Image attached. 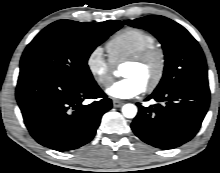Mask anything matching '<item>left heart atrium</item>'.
<instances>
[{
    "label": "left heart atrium",
    "mask_w": 220,
    "mask_h": 173,
    "mask_svg": "<svg viewBox=\"0 0 220 173\" xmlns=\"http://www.w3.org/2000/svg\"><path fill=\"white\" fill-rule=\"evenodd\" d=\"M145 89L142 82L135 77H126L107 88L109 96L115 99H129L138 96Z\"/></svg>",
    "instance_id": "39dd6f15"
}]
</instances>
